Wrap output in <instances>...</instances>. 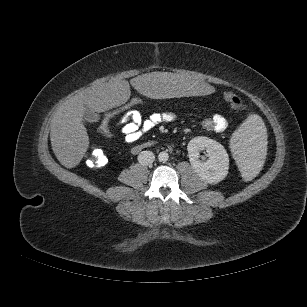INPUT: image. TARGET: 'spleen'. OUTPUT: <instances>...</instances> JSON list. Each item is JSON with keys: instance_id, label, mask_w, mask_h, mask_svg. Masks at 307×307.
Segmentation results:
<instances>
[{"instance_id": "1", "label": "spleen", "mask_w": 307, "mask_h": 307, "mask_svg": "<svg viewBox=\"0 0 307 307\" xmlns=\"http://www.w3.org/2000/svg\"><path fill=\"white\" fill-rule=\"evenodd\" d=\"M264 122L257 114H251L234 134L233 149L238 176L247 182L258 175L263 168L261 158L268 153Z\"/></svg>"}]
</instances>
